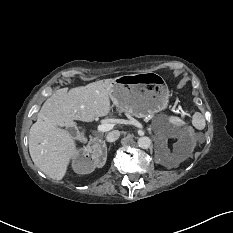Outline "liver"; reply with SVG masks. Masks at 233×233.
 Returning a JSON list of instances; mask_svg holds the SVG:
<instances>
[{
  "instance_id": "6515ba94",
  "label": "liver",
  "mask_w": 233,
  "mask_h": 233,
  "mask_svg": "<svg viewBox=\"0 0 233 233\" xmlns=\"http://www.w3.org/2000/svg\"><path fill=\"white\" fill-rule=\"evenodd\" d=\"M113 79L86 86L56 90L41 107L29 132V152L35 166L54 180H61L77 155L75 138L60 127H74L75 120L91 122L111 111Z\"/></svg>"
}]
</instances>
